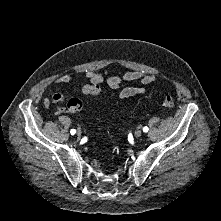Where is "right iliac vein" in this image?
Wrapping results in <instances>:
<instances>
[{"mask_svg":"<svg viewBox=\"0 0 221 221\" xmlns=\"http://www.w3.org/2000/svg\"><path fill=\"white\" fill-rule=\"evenodd\" d=\"M76 133H77V136H78V137H81V135H82L81 129L78 128Z\"/></svg>","mask_w":221,"mask_h":221,"instance_id":"obj_1","label":"right iliac vein"}]
</instances>
